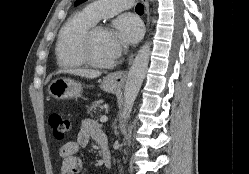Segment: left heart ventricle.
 Here are the masks:
<instances>
[{
    "label": "left heart ventricle",
    "mask_w": 249,
    "mask_h": 174,
    "mask_svg": "<svg viewBox=\"0 0 249 174\" xmlns=\"http://www.w3.org/2000/svg\"><path fill=\"white\" fill-rule=\"evenodd\" d=\"M92 55L100 62H111L115 59L110 31L99 29L95 32L92 41Z\"/></svg>",
    "instance_id": "obj_1"
}]
</instances>
